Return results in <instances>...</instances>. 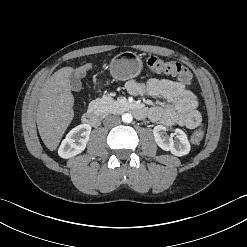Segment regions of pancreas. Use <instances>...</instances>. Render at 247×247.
Segmentation results:
<instances>
[{
  "instance_id": "pancreas-1",
  "label": "pancreas",
  "mask_w": 247,
  "mask_h": 247,
  "mask_svg": "<svg viewBox=\"0 0 247 247\" xmlns=\"http://www.w3.org/2000/svg\"><path fill=\"white\" fill-rule=\"evenodd\" d=\"M92 105L96 108L99 115L105 116L109 113H118L124 109V105L120 104L110 96H103L92 101Z\"/></svg>"
}]
</instances>
